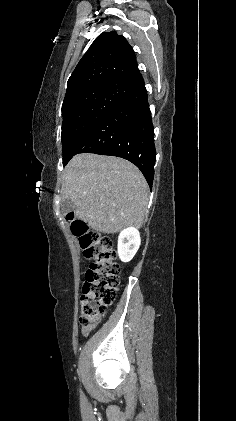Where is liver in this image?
I'll use <instances>...</instances> for the list:
<instances>
[{"mask_svg":"<svg viewBox=\"0 0 236 421\" xmlns=\"http://www.w3.org/2000/svg\"><path fill=\"white\" fill-rule=\"evenodd\" d=\"M62 198L76 204L75 215L98 233L142 227L148 184L139 168L119 156L82 152L64 168Z\"/></svg>","mask_w":236,"mask_h":421,"instance_id":"liver-1","label":"liver"}]
</instances>
